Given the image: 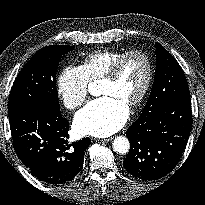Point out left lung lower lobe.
Instances as JSON below:
<instances>
[{"instance_id": "left-lung-lower-lobe-1", "label": "left lung lower lobe", "mask_w": 205, "mask_h": 205, "mask_svg": "<svg viewBox=\"0 0 205 205\" xmlns=\"http://www.w3.org/2000/svg\"><path fill=\"white\" fill-rule=\"evenodd\" d=\"M191 129L190 95L176 97L139 117L126 131L131 148L124 168L142 180L162 178L177 165Z\"/></svg>"}]
</instances>
